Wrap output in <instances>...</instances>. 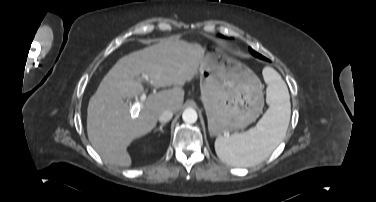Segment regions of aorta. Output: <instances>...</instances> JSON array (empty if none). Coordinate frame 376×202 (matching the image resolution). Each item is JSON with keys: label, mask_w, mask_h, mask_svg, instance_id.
<instances>
[{"label": "aorta", "mask_w": 376, "mask_h": 202, "mask_svg": "<svg viewBox=\"0 0 376 202\" xmlns=\"http://www.w3.org/2000/svg\"><path fill=\"white\" fill-rule=\"evenodd\" d=\"M182 119L184 122L189 124L195 123L198 119L196 110H194L193 108L185 109L182 114Z\"/></svg>", "instance_id": "aorta-1"}]
</instances>
